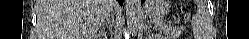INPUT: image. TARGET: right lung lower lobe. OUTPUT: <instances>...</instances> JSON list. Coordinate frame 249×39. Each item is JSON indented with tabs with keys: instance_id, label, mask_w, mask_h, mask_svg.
I'll return each mask as SVG.
<instances>
[{
	"instance_id": "right-lung-lower-lobe-1",
	"label": "right lung lower lobe",
	"mask_w": 249,
	"mask_h": 39,
	"mask_svg": "<svg viewBox=\"0 0 249 39\" xmlns=\"http://www.w3.org/2000/svg\"><path fill=\"white\" fill-rule=\"evenodd\" d=\"M119 4L122 5L123 4V0H118Z\"/></svg>"
}]
</instances>
